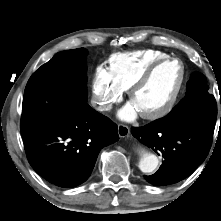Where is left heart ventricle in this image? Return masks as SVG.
I'll return each instance as SVG.
<instances>
[{
	"instance_id": "b2bd125f",
	"label": "left heart ventricle",
	"mask_w": 221,
	"mask_h": 221,
	"mask_svg": "<svg viewBox=\"0 0 221 221\" xmlns=\"http://www.w3.org/2000/svg\"><path fill=\"white\" fill-rule=\"evenodd\" d=\"M180 79V64L167 63L155 71L148 83L134 94L131 101L140 113L158 110L170 100Z\"/></svg>"
}]
</instances>
